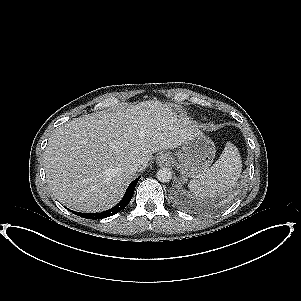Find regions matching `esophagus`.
Returning a JSON list of instances; mask_svg holds the SVG:
<instances>
[{"label": "esophagus", "instance_id": "34e87169", "mask_svg": "<svg viewBox=\"0 0 301 301\" xmlns=\"http://www.w3.org/2000/svg\"><path fill=\"white\" fill-rule=\"evenodd\" d=\"M170 161H171V157L168 153H161L156 158V163L160 167L169 166Z\"/></svg>", "mask_w": 301, "mask_h": 301}]
</instances>
